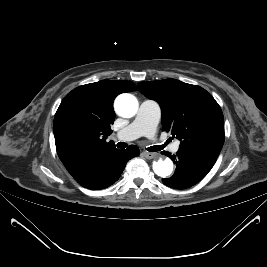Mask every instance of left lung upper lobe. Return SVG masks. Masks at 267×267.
Returning <instances> with one entry per match:
<instances>
[{
  "label": "left lung upper lobe",
  "instance_id": "1",
  "mask_svg": "<svg viewBox=\"0 0 267 267\" xmlns=\"http://www.w3.org/2000/svg\"><path fill=\"white\" fill-rule=\"evenodd\" d=\"M138 88L160 104L163 130L180 140L179 149L218 157L225 139L224 118L205 89L176 79L139 82Z\"/></svg>",
  "mask_w": 267,
  "mask_h": 267
}]
</instances>
